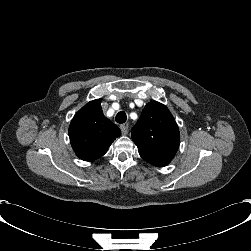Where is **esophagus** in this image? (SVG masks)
Returning <instances> with one entry per match:
<instances>
[{
    "label": "esophagus",
    "instance_id": "1",
    "mask_svg": "<svg viewBox=\"0 0 251 251\" xmlns=\"http://www.w3.org/2000/svg\"><path fill=\"white\" fill-rule=\"evenodd\" d=\"M120 129L122 131V134L126 135L128 133V130H129V125L128 124H122V125H120Z\"/></svg>",
    "mask_w": 251,
    "mask_h": 251
}]
</instances>
